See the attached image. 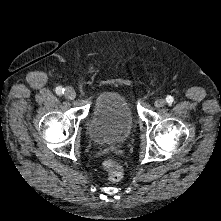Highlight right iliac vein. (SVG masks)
Instances as JSON below:
<instances>
[{
  "label": "right iliac vein",
  "mask_w": 221,
  "mask_h": 221,
  "mask_svg": "<svg viewBox=\"0 0 221 221\" xmlns=\"http://www.w3.org/2000/svg\"><path fill=\"white\" fill-rule=\"evenodd\" d=\"M64 95L69 100H73L76 97V93L72 88H66Z\"/></svg>",
  "instance_id": "right-iliac-vein-1"
}]
</instances>
